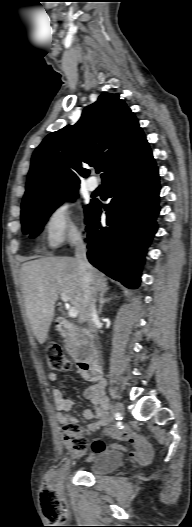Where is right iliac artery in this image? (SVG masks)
Instances as JSON below:
<instances>
[{"label": "right iliac artery", "instance_id": "obj_1", "mask_svg": "<svg viewBox=\"0 0 192 527\" xmlns=\"http://www.w3.org/2000/svg\"><path fill=\"white\" fill-rule=\"evenodd\" d=\"M116 427L119 431H122L124 429V424L121 421H116Z\"/></svg>", "mask_w": 192, "mask_h": 527}]
</instances>
